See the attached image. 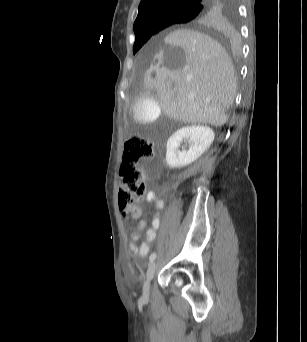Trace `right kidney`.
I'll list each match as a JSON object with an SVG mask.
<instances>
[{
    "label": "right kidney",
    "instance_id": "obj_1",
    "mask_svg": "<svg viewBox=\"0 0 307 342\" xmlns=\"http://www.w3.org/2000/svg\"><path fill=\"white\" fill-rule=\"evenodd\" d=\"M215 134L208 126H186L174 132L167 140L166 162L169 168H185L211 146ZM183 140H188L189 150H178Z\"/></svg>",
    "mask_w": 307,
    "mask_h": 342
}]
</instances>
